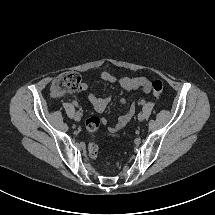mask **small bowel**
I'll use <instances>...</instances> for the list:
<instances>
[{
	"instance_id": "1",
	"label": "small bowel",
	"mask_w": 215,
	"mask_h": 215,
	"mask_svg": "<svg viewBox=\"0 0 215 215\" xmlns=\"http://www.w3.org/2000/svg\"><path fill=\"white\" fill-rule=\"evenodd\" d=\"M100 79L103 82L109 84H118L123 90L130 91L141 88L144 92H149L150 90V81L146 77H122L117 78L108 71H103L100 74ZM82 90H88V85L82 83ZM89 101L92 103L93 109L97 113H102L107 108L111 102V97H101L93 93L88 95ZM121 104H126V99H121ZM134 113V107H129L119 118L118 121L109 129L111 132H118L124 129L129 123L132 115ZM103 123H106V120H103Z\"/></svg>"
}]
</instances>
